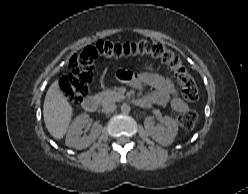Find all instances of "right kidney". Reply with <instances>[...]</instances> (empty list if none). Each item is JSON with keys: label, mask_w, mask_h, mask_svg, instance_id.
Returning a JSON list of instances; mask_svg holds the SVG:
<instances>
[{"label": "right kidney", "mask_w": 248, "mask_h": 194, "mask_svg": "<svg viewBox=\"0 0 248 194\" xmlns=\"http://www.w3.org/2000/svg\"><path fill=\"white\" fill-rule=\"evenodd\" d=\"M88 123V114H81L74 120L66 135L65 142L68 147L81 150L90 146L99 137L102 131V125L98 123H95L92 126L91 132L88 136H81L82 129L85 128Z\"/></svg>", "instance_id": "1"}]
</instances>
